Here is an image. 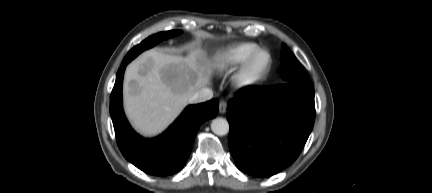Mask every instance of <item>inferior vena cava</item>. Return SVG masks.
I'll return each instance as SVG.
<instances>
[{
	"label": "inferior vena cava",
	"instance_id": "1",
	"mask_svg": "<svg viewBox=\"0 0 432 193\" xmlns=\"http://www.w3.org/2000/svg\"><path fill=\"white\" fill-rule=\"evenodd\" d=\"M213 97V91L209 88H202L196 93H194L190 98V103H202L207 100L212 99Z\"/></svg>",
	"mask_w": 432,
	"mask_h": 193
}]
</instances>
